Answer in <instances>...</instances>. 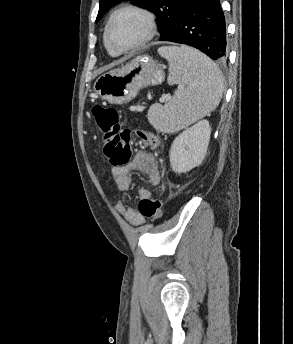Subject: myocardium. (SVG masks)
Listing matches in <instances>:
<instances>
[{
  "mask_svg": "<svg viewBox=\"0 0 293 344\" xmlns=\"http://www.w3.org/2000/svg\"><path fill=\"white\" fill-rule=\"evenodd\" d=\"M125 12H132L137 14L138 16H140L144 22V34L142 36V38L136 42L135 44L125 47V48H115L111 41H110V37H109V31H110V27L114 21V19ZM157 32V23H156V18L154 16V14L149 11L148 9L141 7L139 5H134V4H126L123 5L117 9H115L109 16L108 21L106 23L105 26V30H104V40L105 43L107 45V47L113 51L116 54H124V53H129V52H133L136 50L141 49L142 47H144L146 44H148L156 35Z\"/></svg>",
  "mask_w": 293,
  "mask_h": 344,
  "instance_id": "1",
  "label": "myocardium"
}]
</instances>
